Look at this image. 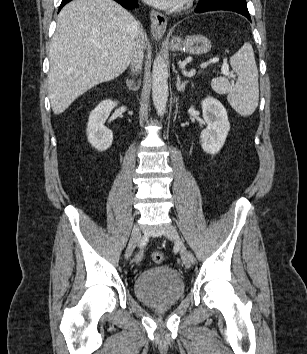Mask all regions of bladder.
Wrapping results in <instances>:
<instances>
[{"label": "bladder", "instance_id": "31cf9c89", "mask_svg": "<svg viewBox=\"0 0 307 354\" xmlns=\"http://www.w3.org/2000/svg\"><path fill=\"white\" fill-rule=\"evenodd\" d=\"M133 289L141 302L160 308L177 303L185 293V283L176 270L161 265L139 273L134 280Z\"/></svg>", "mask_w": 307, "mask_h": 354}]
</instances>
